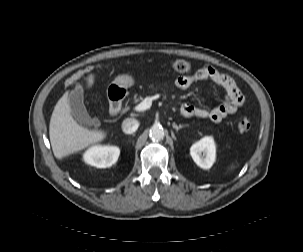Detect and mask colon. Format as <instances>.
<instances>
[{"instance_id": "obj_1", "label": "colon", "mask_w": 303, "mask_h": 252, "mask_svg": "<svg viewBox=\"0 0 303 252\" xmlns=\"http://www.w3.org/2000/svg\"><path fill=\"white\" fill-rule=\"evenodd\" d=\"M171 67L174 71H176L178 73H188L192 69V66L188 61L181 60V59L174 60L171 63ZM93 70H94V68H88L83 71H80L76 75H74L71 79H69V82H73V81L77 80L78 78L82 77L83 75L91 73ZM237 128L240 133L246 134V133L250 132L251 124L247 119L243 118V119L239 120V122L237 124Z\"/></svg>"}]
</instances>
